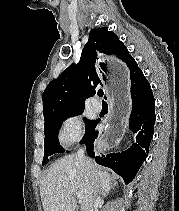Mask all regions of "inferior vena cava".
<instances>
[{
  "label": "inferior vena cava",
  "mask_w": 179,
  "mask_h": 211,
  "mask_svg": "<svg viewBox=\"0 0 179 211\" xmlns=\"http://www.w3.org/2000/svg\"><path fill=\"white\" fill-rule=\"evenodd\" d=\"M77 157L80 162V164L88 171L90 172L91 170V162L88 160V158L85 156V148L81 147L77 151ZM95 201L99 202L100 197L98 196V191L95 192Z\"/></svg>",
  "instance_id": "obj_1"
}]
</instances>
